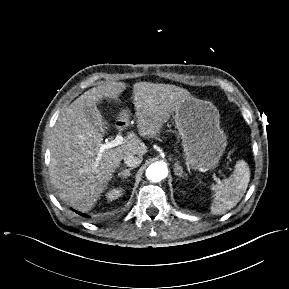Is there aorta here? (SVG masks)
Listing matches in <instances>:
<instances>
[{"label":"aorta","mask_w":289,"mask_h":289,"mask_svg":"<svg viewBox=\"0 0 289 289\" xmlns=\"http://www.w3.org/2000/svg\"><path fill=\"white\" fill-rule=\"evenodd\" d=\"M167 174V166L162 162L153 163L146 169V177L152 182H160L167 177Z\"/></svg>","instance_id":"aorta-1"}]
</instances>
